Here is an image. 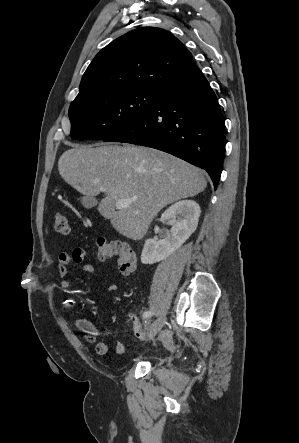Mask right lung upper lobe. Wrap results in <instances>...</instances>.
I'll return each mask as SVG.
<instances>
[{
  "instance_id": "obj_1",
  "label": "right lung upper lobe",
  "mask_w": 299,
  "mask_h": 443,
  "mask_svg": "<svg viewBox=\"0 0 299 443\" xmlns=\"http://www.w3.org/2000/svg\"><path fill=\"white\" fill-rule=\"evenodd\" d=\"M199 71L173 34L143 27L115 39L95 56L72 102L121 89L161 91Z\"/></svg>"
}]
</instances>
